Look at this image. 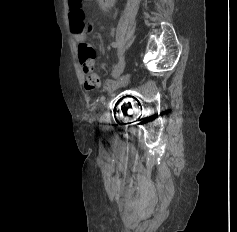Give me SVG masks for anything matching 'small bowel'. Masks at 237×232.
<instances>
[{
	"instance_id": "obj_1",
	"label": "small bowel",
	"mask_w": 237,
	"mask_h": 232,
	"mask_svg": "<svg viewBox=\"0 0 237 232\" xmlns=\"http://www.w3.org/2000/svg\"><path fill=\"white\" fill-rule=\"evenodd\" d=\"M75 40L78 45L79 60L85 78V88L89 91H95L100 84L99 78L94 71L95 51L93 47L86 42L85 34H75ZM123 84L124 80L108 81L107 87L116 89Z\"/></svg>"
}]
</instances>
